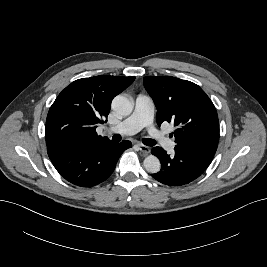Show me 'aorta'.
I'll return each instance as SVG.
<instances>
[{
    "instance_id": "1",
    "label": "aorta",
    "mask_w": 267,
    "mask_h": 267,
    "mask_svg": "<svg viewBox=\"0 0 267 267\" xmlns=\"http://www.w3.org/2000/svg\"><path fill=\"white\" fill-rule=\"evenodd\" d=\"M112 109L122 116H127L133 110V103L128 98L118 95L112 101ZM143 166L149 173H157L161 168L159 159L151 154L144 159Z\"/></svg>"
}]
</instances>
